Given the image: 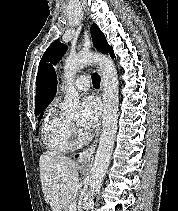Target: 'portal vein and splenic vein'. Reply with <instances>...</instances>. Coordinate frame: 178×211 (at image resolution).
I'll list each match as a JSON object with an SVG mask.
<instances>
[{"label":"portal vein and splenic vein","mask_w":178,"mask_h":211,"mask_svg":"<svg viewBox=\"0 0 178 211\" xmlns=\"http://www.w3.org/2000/svg\"><path fill=\"white\" fill-rule=\"evenodd\" d=\"M77 208V202L76 200L73 201V203L70 206V211H75Z\"/></svg>","instance_id":"1"}]
</instances>
